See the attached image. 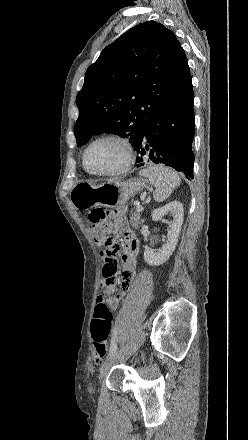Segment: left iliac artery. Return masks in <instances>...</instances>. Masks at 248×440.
Segmentation results:
<instances>
[{
  "instance_id": "left-iliac-artery-1",
  "label": "left iliac artery",
  "mask_w": 248,
  "mask_h": 440,
  "mask_svg": "<svg viewBox=\"0 0 248 440\" xmlns=\"http://www.w3.org/2000/svg\"><path fill=\"white\" fill-rule=\"evenodd\" d=\"M117 350V335L116 332H114L112 338H111V344H110V349H109V355H112L116 352Z\"/></svg>"
}]
</instances>
